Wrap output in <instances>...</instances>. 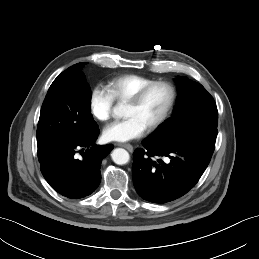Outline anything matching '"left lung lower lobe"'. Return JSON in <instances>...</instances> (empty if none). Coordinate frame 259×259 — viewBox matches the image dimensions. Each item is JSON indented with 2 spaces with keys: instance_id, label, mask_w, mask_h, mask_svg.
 <instances>
[{
  "instance_id": "0a47b994",
  "label": "left lung lower lobe",
  "mask_w": 259,
  "mask_h": 259,
  "mask_svg": "<svg viewBox=\"0 0 259 259\" xmlns=\"http://www.w3.org/2000/svg\"><path fill=\"white\" fill-rule=\"evenodd\" d=\"M216 136L192 134L174 144H159L146 138L136 149L132 167L137 193L153 203H167L190 191L207 168ZM170 160L164 162L162 159Z\"/></svg>"
}]
</instances>
